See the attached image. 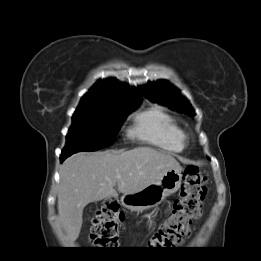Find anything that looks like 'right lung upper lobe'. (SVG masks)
<instances>
[{"label": "right lung upper lobe", "instance_id": "1", "mask_svg": "<svg viewBox=\"0 0 261 261\" xmlns=\"http://www.w3.org/2000/svg\"><path fill=\"white\" fill-rule=\"evenodd\" d=\"M141 89L130 88L121 84L114 78L99 80V82L82 98L87 99H122V100H142Z\"/></svg>", "mask_w": 261, "mask_h": 261}]
</instances>
